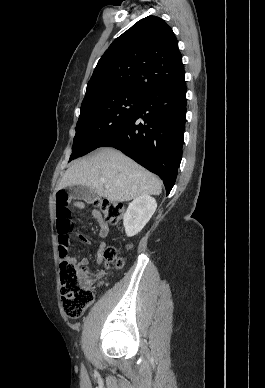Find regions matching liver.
I'll return each mask as SVG.
<instances>
[{"instance_id":"liver-1","label":"liver","mask_w":265,"mask_h":388,"mask_svg":"<svg viewBox=\"0 0 265 388\" xmlns=\"http://www.w3.org/2000/svg\"><path fill=\"white\" fill-rule=\"evenodd\" d=\"M101 178L106 184L100 182ZM67 186H86L111 202H129L142 194L159 196L162 192V182L155 174L114 148H102L89 160H75L58 182L57 190Z\"/></svg>"}]
</instances>
